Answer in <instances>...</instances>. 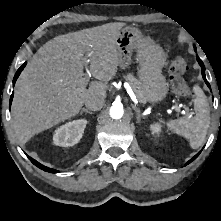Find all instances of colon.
Segmentation results:
<instances>
[{
  "instance_id": "1",
  "label": "colon",
  "mask_w": 221,
  "mask_h": 221,
  "mask_svg": "<svg viewBox=\"0 0 221 221\" xmlns=\"http://www.w3.org/2000/svg\"><path fill=\"white\" fill-rule=\"evenodd\" d=\"M189 67L186 60L182 57L174 59L168 68L170 83L173 91L179 95L191 94V87L185 81V74Z\"/></svg>"
}]
</instances>
